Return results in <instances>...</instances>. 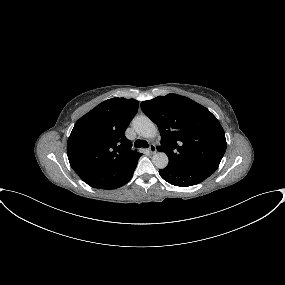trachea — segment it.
<instances>
[{"instance_id": "obj_1", "label": "trachea", "mask_w": 285, "mask_h": 285, "mask_svg": "<svg viewBox=\"0 0 285 285\" xmlns=\"http://www.w3.org/2000/svg\"><path fill=\"white\" fill-rule=\"evenodd\" d=\"M134 146L136 147V148H148L149 147V144L147 143V141H145V140H140V139H138V140H136L135 141V143H134Z\"/></svg>"}]
</instances>
